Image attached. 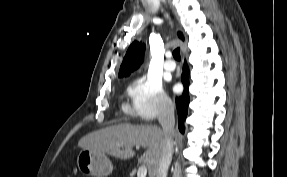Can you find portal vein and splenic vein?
I'll return each mask as SVG.
<instances>
[{"label":"portal vein and splenic vein","instance_id":"portal-vein-and-splenic-vein-1","mask_svg":"<svg viewBox=\"0 0 287 177\" xmlns=\"http://www.w3.org/2000/svg\"><path fill=\"white\" fill-rule=\"evenodd\" d=\"M139 146H136V149H139ZM147 175V167L146 166H140L137 172V177H146Z\"/></svg>","mask_w":287,"mask_h":177}]
</instances>
